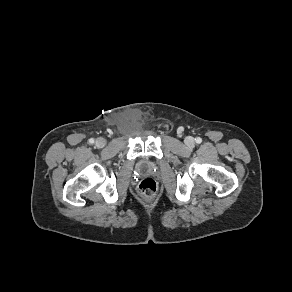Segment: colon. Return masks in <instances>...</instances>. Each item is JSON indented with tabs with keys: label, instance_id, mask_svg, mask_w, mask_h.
<instances>
[{
	"label": "colon",
	"instance_id": "obj_1",
	"mask_svg": "<svg viewBox=\"0 0 292 292\" xmlns=\"http://www.w3.org/2000/svg\"><path fill=\"white\" fill-rule=\"evenodd\" d=\"M140 193L146 198H153L158 191V185L152 178H145L139 184Z\"/></svg>",
	"mask_w": 292,
	"mask_h": 292
}]
</instances>
